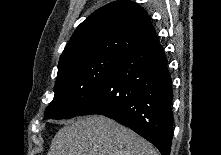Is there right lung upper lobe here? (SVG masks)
Returning <instances> with one entry per match:
<instances>
[{
	"label": "right lung upper lobe",
	"mask_w": 221,
	"mask_h": 155,
	"mask_svg": "<svg viewBox=\"0 0 221 155\" xmlns=\"http://www.w3.org/2000/svg\"><path fill=\"white\" fill-rule=\"evenodd\" d=\"M155 35L142 7L127 0L111 2L78 26L60 56L58 71L73 61L102 53L125 55Z\"/></svg>",
	"instance_id": "right-lung-upper-lobe-1"
}]
</instances>
